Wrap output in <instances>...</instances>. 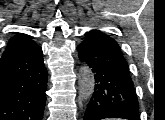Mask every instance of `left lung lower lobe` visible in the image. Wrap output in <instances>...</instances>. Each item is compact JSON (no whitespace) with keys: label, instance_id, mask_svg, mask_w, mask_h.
<instances>
[{"label":"left lung lower lobe","instance_id":"left-lung-lower-lobe-1","mask_svg":"<svg viewBox=\"0 0 165 120\" xmlns=\"http://www.w3.org/2000/svg\"><path fill=\"white\" fill-rule=\"evenodd\" d=\"M79 58L95 74V89L83 120L126 118L139 120L138 100L129 66L118 43L98 30L85 33L77 46Z\"/></svg>","mask_w":165,"mask_h":120}]
</instances>
